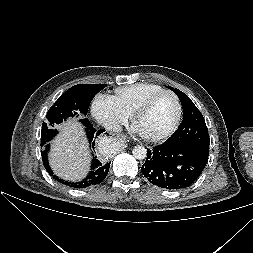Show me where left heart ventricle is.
<instances>
[{"label": "left heart ventricle", "mask_w": 253, "mask_h": 253, "mask_svg": "<svg viewBox=\"0 0 253 253\" xmlns=\"http://www.w3.org/2000/svg\"><path fill=\"white\" fill-rule=\"evenodd\" d=\"M175 117V101L171 95L165 94L159 97L150 109L137 120L135 126L143 135L155 137L167 131Z\"/></svg>", "instance_id": "1"}]
</instances>
